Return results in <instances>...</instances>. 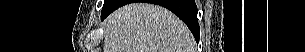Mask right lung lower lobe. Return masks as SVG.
<instances>
[{"label": "right lung lower lobe", "mask_w": 305, "mask_h": 52, "mask_svg": "<svg viewBox=\"0 0 305 52\" xmlns=\"http://www.w3.org/2000/svg\"><path fill=\"white\" fill-rule=\"evenodd\" d=\"M103 6L101 19H105L115 9L132 2H148L161 5L176 14L191 30L197 42H199L200 29L197 21V6L194 0H107Z\"/></svg>", "instance_id": "1"}]
</instances>
